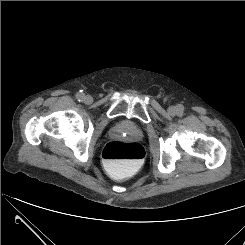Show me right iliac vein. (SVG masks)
I'll return each instance as SVG.
<instances>
[{"mask_svg":"<svg viewBox=\"0 0 245 245\" xmlns=\"http://www.w3.org/2000/svg\"><path fill=\"white\" fill-rule=\"evenodd\" d=\"M83 101L85 104H91L93 99L90 95H86V96H84Z\"/></svg>","mask_w":245,"mask_h":245,"instance_id":"1","label":"right iliac vein"}]
</instances>
